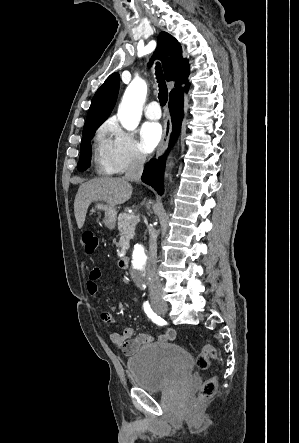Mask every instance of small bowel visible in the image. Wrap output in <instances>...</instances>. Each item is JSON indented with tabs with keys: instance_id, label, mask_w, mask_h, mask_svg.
I'll return each mask as SVG.
<instances>
[{
	"instance_id": "small-bowel-1",
	"label": "small bowel",
	"mask_w": 299,
	"mask_h": 443,
	"mask_svg": "<svg viewBox=\"0 0 299 443\" xmlns=\"http://www.w3.org/2000/svg\"><path fill=\"white\" fill-rule=\"evenodd\" d=\"M101 278V270L93 268L89 272L86 287L88 292L96 296L98 295V280ZM137 301L136 297L131 298ZM101 321L105 323L114 322V317L111 313L102 311L99 314ZM176 337V332L173 329H166L165 332L158 336L157 341L161 343L173 341ZM110 341L119 348H122L124 353L131 355L135 353L141 346L154 342V338L145 333L135 335L131 327H125L121 332H112L109 336Z\"/></svg>"
}]
</instances>
